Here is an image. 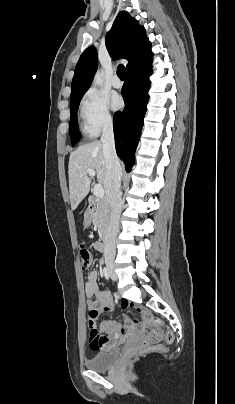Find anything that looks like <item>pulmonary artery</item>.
<instances>
[{"label": "pulmonary artery", "instance_id": "e3ab8cb5", "mask_svg": "<svg viewBox=\"0 0 235 404\" xmlns=\"http://www.w3.org/2000/svg\"><path fill=\"white\" fill-rule=\"evenodd\" d=\"M112 86L114 87V88H121V86H122V83H121V81H120V79L117 77V76H115L113 79H112Z\"/></svg>", "mask_w": 235, "mask_h": 404}]
</instances>
